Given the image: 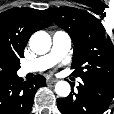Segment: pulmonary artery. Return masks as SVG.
<instances>
[{
    "mask_svg": "<svg viewBox=\"0 0 114 114\" xmlns=\"http://www.w3.org/2000/svg\"><path fill=\"white\" fill-rule=\"evenodd\" d=\"M71 48V38L64 31H56L52 36V47L49 53L24 63L20 73L25 75L45 71L61 61Z\"/></svg>",
    "mask_w": 114,
    "mask_h": 114,
    "instance_id": "1",
    "label": "pulmonary artery"
}]
</instances>
